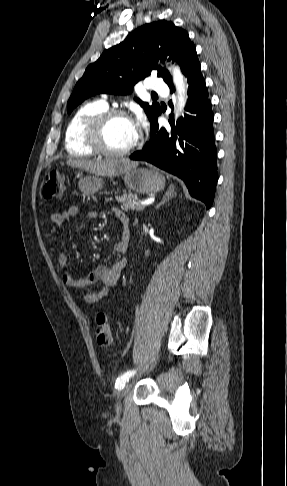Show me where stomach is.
Wrapping results in <instances>:
<instances>
[{"label":"stomach","instance_id":"stomach-1","mask_svg":"<svg viewBox=\"0 0 287 486\" xmlns=\"http://www.w3.org/2000/svg\"><path fill=\"white\" fill-rule=\"evenodd\" d=\"M125 185L137 193L150 194L164 189L165 177L157 171L146 168H131L123 173ZM102 178L94 175L79 180L78 187L84 195H93L103 187Z\"/></svg>","mask_w":287,"mask_h":486}]
</instances>
